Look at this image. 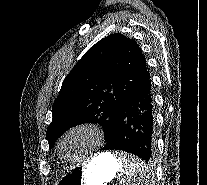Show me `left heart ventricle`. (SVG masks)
Instances as JSON below:
<instances>
[{
  "instance_id": "b2bd125f",
  "label": "left heart ventricle",
  "mask_w": 207,
  "mask_h": 185,
  "mask_svg": "<svg viewBox=\"0 0 207 185\" xmlns=\"http://www.w3.org/2000/svg\"><path fill=\"white\" fill-rule=\"evenodd\" d=\"M94 144L95 140L89 132L75 131L63 142L62 154L67 160H73L84 155Z\"/></svg>"
}]
</instances>
